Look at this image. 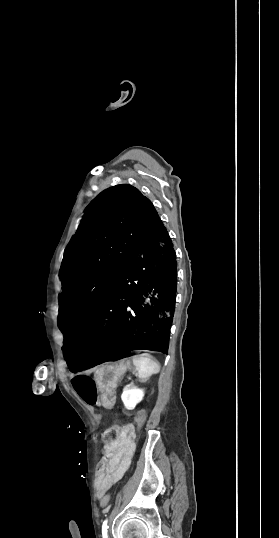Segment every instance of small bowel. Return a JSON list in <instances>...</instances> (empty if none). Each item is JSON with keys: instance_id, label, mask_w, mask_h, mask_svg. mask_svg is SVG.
<instances>
[{"instance_id": "c3829d8e", "label": "small bowel", "mask_w": 279, "mask_h": 538, "mask_svg": "<svg viewBox=\"0 0 279 538\" xmlns=\"http://www.w3.org/2000/svg\"><path fill=\"white\" fill-rule=\"evenodd\" d=\"M72 386L77 395L88 405H98V395L94 381L91 377L78 375L72 381ZM135 428L133 425H125L121 428L119 440L105 446L108 454L104 476L97 481V490L100 496L107 493L117 483L130 466L135 451Z\"/></svg>"}]
</instances>
